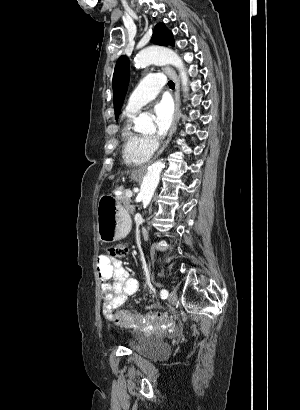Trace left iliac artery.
Returning <instances> with one entry per match:
<instances>
[{
	"label": "left iliac artery",
	"mask_w": 300,
	"mask_h": 410,
	"mask_svg": "<svg viewBox=\"0 0 300 410\" xmlns=\"http://www.w3.org/2000/svg\"><path fill=\"white\" fill-rule=\"evenodd\" d=\"M160 295L162 299H166L168 297V291L166 289H162Z\"/></svg>",
	"instance_id": "obj_1"
}]
</instances>
